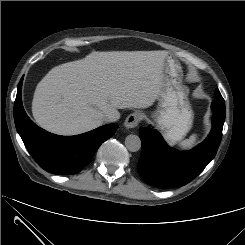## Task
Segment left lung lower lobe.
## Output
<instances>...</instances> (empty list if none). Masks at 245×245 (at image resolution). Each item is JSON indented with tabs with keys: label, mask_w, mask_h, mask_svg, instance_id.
Returning <instances> with one entry per match:
<instances>
[{
	"label": "left lung lower lobe",
	"mask_w": 245,
	"mask_h": 245,
	"mask_svg": "<svg viewBox=\"0 0 245 245\" xmlns=\"http://www.w3.org/2000/svg\"><path fill=\"white\" fill-rule=\"evenodd\" d=\"M213 101L212 130L194 149L180 152L170 148L154 129L140 128L142 151L137 164L141 178L158 188L181 187L198 176L215 157L222 138L225 114Z\"/></svg>",
	"instance_id": "0a47b994"
}]
</instances>
